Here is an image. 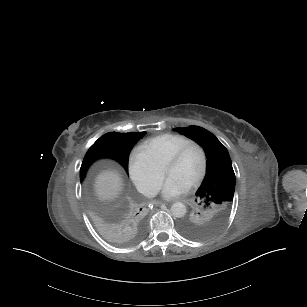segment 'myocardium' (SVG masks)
Listing matches in <instances>:
<instances>
[{
  "label": "myocardium",
  "mask_w": 307,
  "mask_h": 307,
  "mask_svg": "<svg viewBox=\"0 0 307 307\" xmlns=\"http://www.w3.org/2000/svg\"><path fill=\"white\" fill-rule=\"evenodd\" d=\"M193 146L200 147L203 154V165L198 175L189 183L190 187L199 184L207 174L209 167V155L205 145L201 141L192 139L189 142L182 145L173 154L167 156L166 159L164 160V164L178 162L184 157L186 152Z\"/></svg>",
  "instance_id": "1"
}]
</instances>
